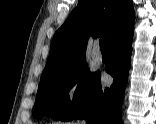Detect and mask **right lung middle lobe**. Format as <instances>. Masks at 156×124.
Segmentation results:
<instances>
[{"label":"right lung middle lobe","instance_id":"1","mask_svg":"<svg viewBox=\"0 0 156 124\" xmlns=\"http://www.w3.org/2000/svg\"><path fill=\"white\" fill-rule=\"evenodd\" d=\"M96 75L97 72H89L84 62L66 71L40 79L36 102L32 110L33 116L46 115L61 120L82 101ZM77 82L79 83L73 101H70L68 92Z\"/></svg>","mask_w":156,"mask_h":124}]
</instances>
